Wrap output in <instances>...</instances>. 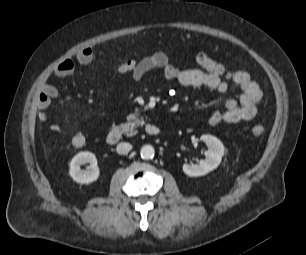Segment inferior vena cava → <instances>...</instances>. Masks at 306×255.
Returning <instances> with one entry per match:
<instances>
[{"label":"inferior vena cava","mask_w":306,"mask_h":255,"mask_svg":"<svg viewBox=\"0 0 306 255\" xmlns=\"http://www.w3.org/2000/svg\"><path fill=\"white\" fill-rule=\"evenodd\" d=\"M132 149V145L130 143H119L116 147V151L118 154L125 155Z\"/></svg>","instance_id":"inferior-vena-cava-1"}]
</instances>
